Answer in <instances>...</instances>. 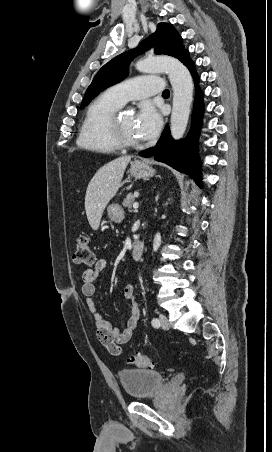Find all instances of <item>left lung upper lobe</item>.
Masks as SVG:
<instances>
[{"instance_id":"left-lung-upper-lobe-1","label":"left lung upper lobe","mask_w":272,"mask_h":452,"mask_svg":"<svg viewBox=\"0 0 272 452\" xmlns=\"http://www.w3.org/2000/svg\"><path fill=\"white\" fill-rule=\"evenodd\" d=\"M151 47L155 48V54L170 55L179 60L187 53L176 30L170 24L159 23L156 32L144 40L137 49L116 56L98 71L85 93L80 108L87 106L101 91L123 80L128 75V65L135 55Z\"/></svg>"}]
</instances>
